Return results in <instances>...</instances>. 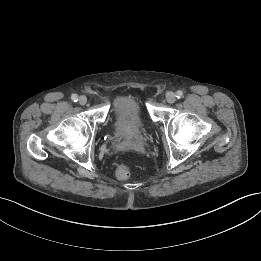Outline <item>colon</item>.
<instances>
[{"label": "colon", "mask_w": 261, "mask_h": 261, "mask_svg": "<svg viewBox=\"0 0 261 261\" xmlns=\"http://www.w3.org/2000/svg\"><path fill=\"white\" fill-rule=\"evenodd\" d=\"M129 176V169L127 166L125 165H121L117 168L116 170V177L119 179V180H125L127 179Z\"/></svg>", "instance_id": "colon-1"}]
</instances>
